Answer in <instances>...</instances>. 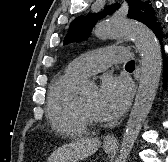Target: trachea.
<instances>
[{
	"mask_svg": "<svg viewBox=\"0 0 168 162\" xmlns=\"http://www.w3.org/2000/svg\"><path fill=\"white\" fill-rule=\"evenodd\" d=\"M125 67H127V68H134V67H135V62H134V60L129 61V62L126 64Z\"/></svg>",
	"mask_w": 168,
	"mask_h": 162,
	"instance_id": "1",
	"label": "trachea"
}]
</instances>
